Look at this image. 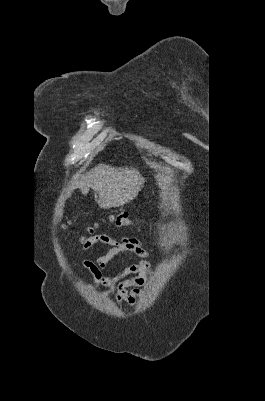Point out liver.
<instances>
[{
	"label": "liver",
	"instance_id": "liver-1",
	"mask_svg": "<svg viewBox=\"0 0 265 401\" xmlns=\"http://www.w3.org/2000/svg\"><path fill=\"white\" fill-rule=\"evenodd\" d=\"M145 180L135 168H115L110 164H98L84 176L79 186L82 194L93 188L98 194L100 209L123 207L137 196Z\"/></svg>",
	"mask_w": 265,
	"mask_h": 401
}]
</instances>
